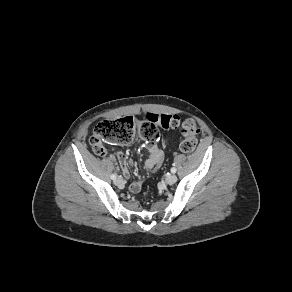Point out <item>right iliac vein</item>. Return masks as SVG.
<instances>
[{
    "label": "right iliac vein",
    "mask_w": 292,
    "mask_h": 292,
    "mask_svg": "<svg viewBox=\"0 0 292 292\" xmlns=\"http://www.w3.org/2000/svg\"><path fill=\"white\" fill-rule=\"evenodd\" d=\"M114 184L118 187H123L124 185L123 179L121 177H117L114 181Z\"/></svg>",
    "instance_id": "1"
}]
</instances>
